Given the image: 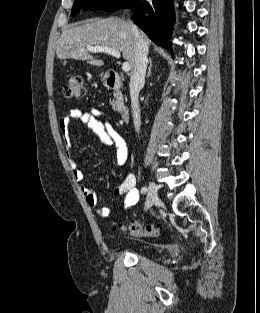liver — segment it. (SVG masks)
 Instances as JSON below:
<instances>
[{"instance_id":"6515ba94","label":"liver","mask_w":260,"mask_h":313,"mask_svg":"<svg viewBox=\"0 0 260 313\" xmlns=\"http://www.w3.org/2000/svg\"><path fill=\"white\" fill-rule=\"evenodd\" d=\"M140 32V31H139ZM147 47L150 40L143 33ZM108 46L122 52L133 71L136 52V37L132 24L120 18L109 17L93 19L79 26L65 30L58 42L56 54L59 59H76L86 61L94 66H103L99 57H93L86 50V46Z\"/></svg>"}]
</instances>
